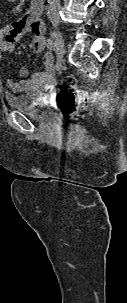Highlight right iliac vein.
Here are the masks:
<instances>
[{
	"instance_id": "obj_1",
	"label": "right iliac vein",
	"mask_w": 127,
	"mask_h": 303,
	"mask_svg": "<svg viewBox=\"0 0 127 303\" xmlns=\"http://www.w3.org/2000/svg\"><path fill=\"white\" fill-rule=\"evenodd\" d=\"M52 24L55 28V50H56L58 59H61L65 53L64 40H63L62 34L60 33V31L58 29V22L54 20V21H52Z\"/></svg>"
}]
</instances>
